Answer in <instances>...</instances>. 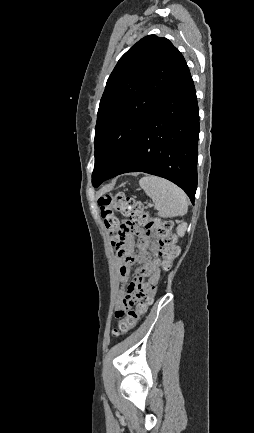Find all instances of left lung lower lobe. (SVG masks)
<instances>
[{
  "mask_svg": "<svg viewBox=\"0 0 254 433\" xmlns=\"http://www.w3.org/2000/svg\"><path fill=\"white\" fill-rule=\"evenodd\" d=\"M199 112L186 64L150 115L125 161L109 177L145 172L181 187L192 203L197 188Z\"/></svg>",
  "mask_w": 254,
  "mask_h": 433,
  "instance_id": "1",
  "label": "left lung lower lobe"
}]
</instances>
